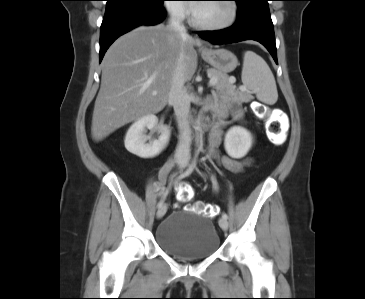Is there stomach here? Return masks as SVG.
<instances>
[{
	"instance_id": "obj_1",
	"label": "stomach",
	"mask_w": 365,
	"mask_h": 299,
	"mask_svg": "<svg viewBox=\"0 0 365 299\" xmlns=\"http://www.w3.org/2000/svg\"><path fill=\"white\" fill-rule=\"evenodd\" d=\"M202 58L215 70L225 74L233 71L238 65L237 57L226 49L204 50Z\"/></svg>"
}]
</instances>
